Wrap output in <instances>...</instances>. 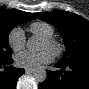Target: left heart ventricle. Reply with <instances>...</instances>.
I'll use <instances>...</instances> for the list:
<instances>
[{"label": "left heart ventricle", "mask_w": 89, "mask_h": 89, "mask_svg": "<svg viewBox=\"0 0 89 89\" xmlns=\"http://www.w3.org/2000/svg\"><path fill=\"white\" fill-rule=\"evenodd\" d=\"M45 49H50L52 51V49L49 47V45L43 40L39 50H45Z\"/></svg>", "instance_id": "left-heart-ventricle-1"}]
</instances>
